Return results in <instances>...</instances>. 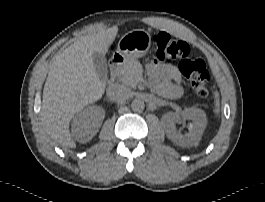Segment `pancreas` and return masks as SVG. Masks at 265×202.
Returning <instances> with one entry per match:
<instances>
[{"mask_svg":"<svg viewBox=\"0 0 265 202\" xmlns=\"http://www.w3.org/2000/svg\"><path fill=\"white\" fill-rule=\"evenodd\" d=\"M142 65L136 59L126 61L117 71L119 80L130 87H135L142 77Z\"/></svg>","mask_w":265,"mask_h":202,"instance_id":"1","label":"pancreas"}]
</instances>
